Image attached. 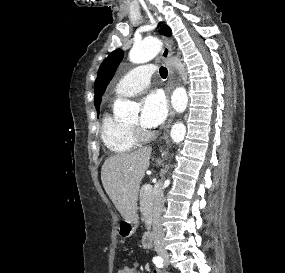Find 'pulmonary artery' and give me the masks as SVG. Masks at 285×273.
<instances>
[{"mask_svg":"<svg viewBox=\"0 0 285 273\" xmlns=\"http://www.w3.org/2000/svg\"><path fill=\"white\" fill-rule=\"evenodd\" d=\"M156 68L152 64H143L131 69L123 75L115 87V96L127 97L134 95L146 88L155 73Z\"/></svg>","mask_w":285,"mask_h":273,"instance_id":"e3ab8cb5","label":"pulmonary artery"}]
</instances>
